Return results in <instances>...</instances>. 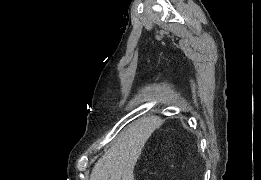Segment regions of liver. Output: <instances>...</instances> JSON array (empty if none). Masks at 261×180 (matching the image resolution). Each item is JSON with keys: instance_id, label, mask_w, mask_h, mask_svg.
Here are the masks:
<instances>
[{"instance_id": "obj_1", "label": "liver", "mask_w": 261, "mask_h": 180, "mask_svg": "<svg viewBox=\"0 0 261 180\" xmlns=\"http://www.w3.org/2000/svg\"><path fill=\"white\" fill-rule=\"evenodd\" d=\"M154 126L152 118H141L125 128L116 144L96 162L90 180H134L135 164Z\"/></svg>"}]
</instances>
